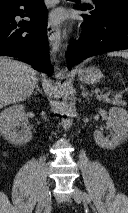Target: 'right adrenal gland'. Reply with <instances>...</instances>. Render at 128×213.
<instances>
[{
	"mask_svg": "<svg viewBox=\"0 0 128 213\" xmlns=\"http://www.w3.org/2000/svg\"><path fill=\"white\" fill-rule=\"evenodd\" d=\"M42 93V91H41V89L39 88V85H38V83L36 84V90H35V92H34V95H36L37 93Z\"/></svg>",
	"mask_w": 128,
	"mask_h": 213,
	"instance_id": "right-adrenal-gland-1",
	"label": "right adrenal gland"
}]
</instances>
